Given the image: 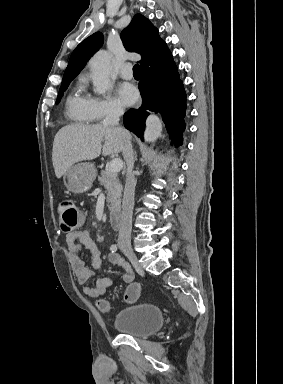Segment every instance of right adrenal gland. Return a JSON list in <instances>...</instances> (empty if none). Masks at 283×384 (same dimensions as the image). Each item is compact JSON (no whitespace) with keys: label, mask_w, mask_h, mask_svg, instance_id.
Instances as JSON below:
<instances>
[{"label":"right adrenal gland","mask_w":283,"mask_h":384,"mask_svg":"<svg viewBox=\"0 0 283 384\" xmlns=\"http://www.w3.org/2000/svg\"><path fill=\"white\" fill-rule=\"evenodd\" d=\"M134 156H135V160H137V154H136V152H134Z\"/></svg>","instance_id":"obj_1"}]
</instances>
